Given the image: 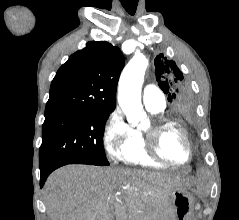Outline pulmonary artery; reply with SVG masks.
<instances>
[{"instance_id":"1","label":"pulmonary artery","mask_w":239,"mask_h":220,"mask_svg":"<svg viewBox=\"0 0 239 220\" xmlns=\"http://www.w3.org/2000/svg\"><path fill=\"white\" fill-rule=\"evenodd\" d=\"M143 103L147 108L163 110L166 100L163 92L155 85L148 84L143 89Z\"/></svg>"}]
</instances>
